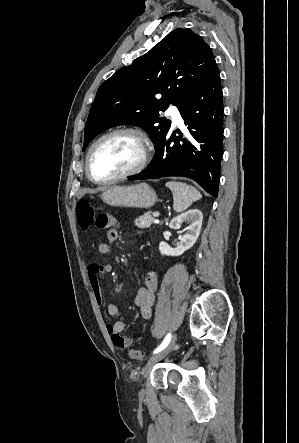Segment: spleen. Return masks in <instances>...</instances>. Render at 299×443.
<instances>
[{"label": "spleen", "instance_id": "1", "mask_svg": "<svg viewBox=\"0 0 299 443\" xmlns=\"http://www.w3.org/2000/svg\"><path fill=\"white\" fill-rule=\"evenodd\" d=\"M172 191L174 204L173 208L176 212H183L191 206V204L202 198L200 192L186 183L170 181L165 184Z\"/></svg>", "mask_w": 299, "mask_h": 443}]
</instances>
